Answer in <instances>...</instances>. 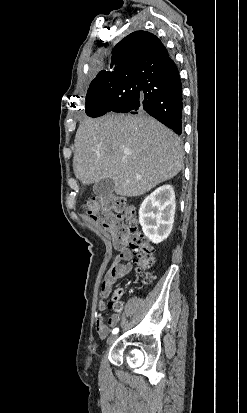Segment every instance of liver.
Returning a JSON list of instances; mask_svg holds the SVG:
<instances>
[{"instance_id":"obj_1","label":"liver","mask_w":247,"mask_h":413,"mask_svg":"<svg viewBox=\"0 0 247 413\" xmlns=\"http://www.w3.org/2000/svg\"><path fill=\"white\" fill-rule=\"evenodd\" d=\"M181 138L149 114L86 116L75 136L73 168L82 184L113 178L116 194L139 196L183 166Z\"/></svg>"}]
</instances>
